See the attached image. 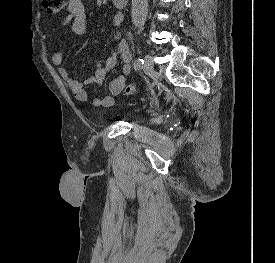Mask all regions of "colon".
Here are the masks:
<instances>
[{
	"instance_id": "1",
	"label": "colon",
	"mask_w": 275,
	"mask_h": 263,
	"mask_svg": "<svg viewBox=\"0 0 275 263\" xmlns=\"http://www.w3.org/2000/svg\"><path fill=\"white\" fill-rule=\"evenodd\" d=\"M43 7L44 9L50 14H58L61 12L66 4L67 0H43ZM136 93V87L133 85H129L125 88L124 94L125 95H132Z\"/></svg>"
}]
</instances>
